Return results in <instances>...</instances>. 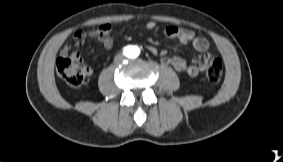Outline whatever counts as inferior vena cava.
Instances as JSON below:
<instances>
[{
    "label": "inferior vena cava",
    "instance_id": "obj_1",
    "mask_svg": "<svg viewBox=\"0 0 283 162\" xmlns=\"http://www.w3.org/2000/svg\"><path fill=\"white\" fill-rule=\"evenodd\" d=\"M125 60V56L123 54H117L115 57H114V63L115 64H119L121 62H123Z\"/></svg>",
    "mask_w": 283,
    "mask_h": 162
}]
</instances>
